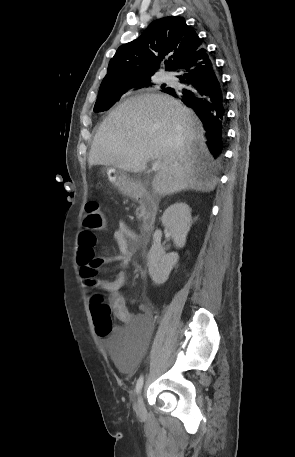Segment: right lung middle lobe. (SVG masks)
Returning a JSON list of instances; mask_svg holds the SVG:
<instances>
[{"instance_id": "obj_1", "label": "right lung middle lobe", "mask_w": 295, "mask_h": 457, "mask_svg": "<svg viewBox=\"0 0 295 457\" xmlns=\"http://www.w3.org/2000/svg\"><path fill=\"white\" fill-rule=\"evenodd\" d=\"M141 87H158L162 91L166 89L168 86L166 84H155L153 83L152 79L143 81L138 86H127L123 88H117L114 90H104L99 91L98 98L94 106L95 112H102L108 110L112 107L119 99L125 95L126 93L130 92L131 90H135L136 88Z\"/></svg>"}]
</instances>
